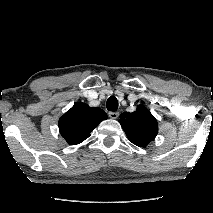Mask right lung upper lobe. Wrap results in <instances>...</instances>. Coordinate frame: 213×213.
Returning a JSON list of instances; mask_svg holds the SVG:
<instances>
[{
  "instance_id": "right-lung-upper-lobe-1",
  "label": "right lung upper lobe",
  "mask_w": 213,
  "mask_h": 213,
  "mask_svg": "<svg viewBox=\"0 0 213 213\" xmlns=\"http://www.w3.org/2000/svg\"><path fill=\"white\" fill-rule=\"evenodd\" d=\"M107 119L100 108L77 103L59 119V131L70 145L83 142L98 124Z\"/></svg>"
}]
</instances>
